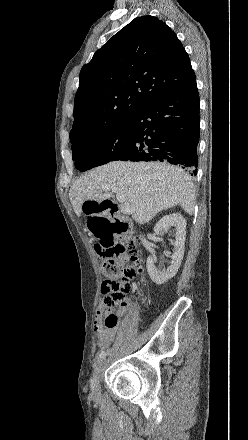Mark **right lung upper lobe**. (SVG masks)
I'll return each instance as SVG.
<instances>
[{
  "label": "right lung upper lobe",
  "instance_id": "right-lung-upper-lobe-1",
  "mask_svg": "<svg viewBox=\"0 0 248 440\" xmlns=\"http://www.w3.org/2000/svg\"><path fill=\"white\" fill-rule=\"evenodd\" d=\"M195 82L176 34L156 17L135 18L82 67L71 142L102 135L150 101Z\"/></svg>",
  "mask_w": 248,
  "mask_h": 440
}]
</instances>
